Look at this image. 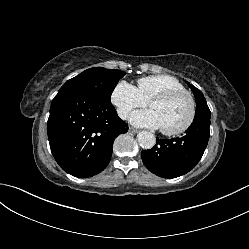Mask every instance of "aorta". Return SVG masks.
Here are the masks:
<instances>
[{"label": "aorta", "instance_id": "762f6f07", "mask_svg": "<svg viewBox=\"0 0 249 249\" xmlns=\"http://www.w3.org/2000/svg\"><path fill=\"white\" fill-rule=\"evenodd\" d=\"M140 146L144 149H151L156 144L155 136L148 131H141L137 135Z\"/></svg>", "mask_w": 249, "mask_h": 249}]
</instances>
